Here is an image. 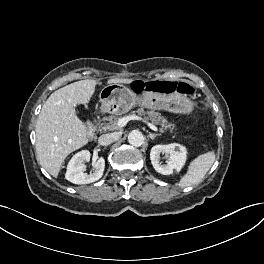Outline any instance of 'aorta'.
<instances>
[{
	"mask_svg": "<svg viewBox=\"0 0 264 264\" xmlns=\"http://www.w3.org/2000/svg\"><path fill=\"white\" fill-rule=\"evenodd\" d=\"M128 142L135 147H140L144 144V136L138 130H133L128 135Z\"/></svg>",
	"mask_w": 264,
	"mask_h": 264,
	"instance_id": "762f6f07",
	"label": "aorta"
}]
</instances>
